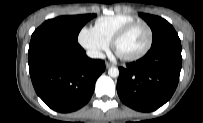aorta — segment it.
Segmentation results:
<instances>
[{"label":"aorta","mask_w":203,"mask_h":123,"mask_svg":"<svg viewBox=\"0 0 203 123\" xmlns=\"http://www.w3.org/2000/svg\"><path fill=\"white\" fill-rule=\"evenodd\" d=\"M108 75L110 77L116 78L119 76V69L117 67H111L108 70Z\"/></svg>","instance_id":"obj_1"}]
</instances>
